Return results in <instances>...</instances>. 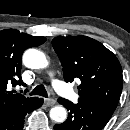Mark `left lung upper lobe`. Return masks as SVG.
<instances>
[{"mask_svg": "<svg viewBox=\"0 0 130 130\" xmlns=\"http://www.w3.org/2000/svg\"><path fill=\"white\" fill-rule=\"evenodd\" d=\"M66 82L80 79V101L97 104L113 113L123 85L122 68L116 56L100 42L83 35L52 40Z\"/></svg>", "mask_w": 130, "mask_h": 130, "instance_id": "left-lung-upper-lobe-1", "label": "left lung upper lobe"}]
</instances>
